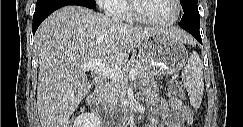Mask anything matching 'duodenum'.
Returning a JSON list of instances; mask_svg holds the SVG:
<instances>
[{"label": "duodenum", "instance_id": "410a0bca", "mask_svg": "<svg viewBox=\"0 0 243 127\" xmlns=\"http://www.w3.org/2000/svg\"><path fill=\"white\" fill-rule=\"evenodd\" d=\"M105 88V81L103 78H98L94 90L87 97V104L90 111L99 116L101 114V94ZM138 111V107L134 108V112Z\"/></svg>", "mask_w": 243, "mask_h": 127}]
</instances>
